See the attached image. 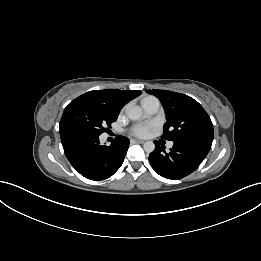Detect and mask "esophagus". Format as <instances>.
<instances>
[{
	"label": "esophagus",
	"instance_id": "1",
	"mask_svg": "<svg viewBox=\"0 0 261 261\" xmlns=\"http://www.w3.org/2000/svg\"><path fill=\"white\" fill-rule=\"evenodd\" d=\"M136 143H140V144H143L145 141L144 140H140V139H135L134 140Z\"/></svg>",
	"mask_w": 261,
	"mask_h": 261
}]
</instances>
